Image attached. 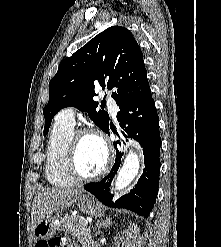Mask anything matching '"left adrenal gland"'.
<instances>
[{
    "label": "left adrenal gland",
    "instance_id": "obj_1",
    "mask_svg": "<svg viewBox=\"0 0 221 247\" xmlns=\"http://www.w3.org/2000/svg\"><path fill=\"white\" fill-rule=\"evenodd\" d=\"M111 223V221L108 219L106 221H101V222H97L94 232H95V236H97L98 234H100V228L103 226H108Z\"/></svg>",
    "mask_w": 221,
    "mask_h": 247
}]
</instances>
